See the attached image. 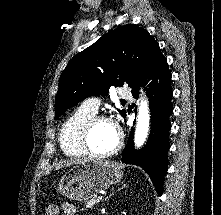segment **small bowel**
<instances>
[{"label": "small bowel", "instance_id": "1", "mask_svg": "<svg viewBox=\"0 0 221 215\" xmlns=\"http://www.w3.org/2000/svg\"><path fill=\"white\" fill-rule=\"evenodd\" d=\"M62 212L65 215H74L76 212V209L73 204L66 202V203L62 204Z\"/></svg>", "mask_w": 221, "mask_h": 215}]
</instances>
